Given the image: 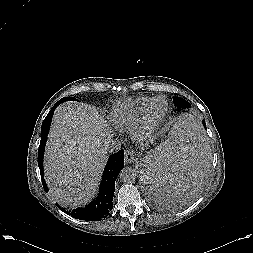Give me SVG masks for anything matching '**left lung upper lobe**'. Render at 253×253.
Segmentation results:
<instances>
[{
  "label": "left lung upper lobe",
  "mask_w": 253,
  "mask_h": 253,
  "mask_svg": "<svg viewBox=\"0 0 253 253\" xmlns=\"http://www.w3.org/2000/svg\"><path fill=\"white\" fill-rule=\"evenodd\" d=\"M173 101L178 108H188L190 106L186 100L179 97H174Z\"/></svg>",
  "instance_id": "left-lung-upper-lobe-1"
}]
</instances>
